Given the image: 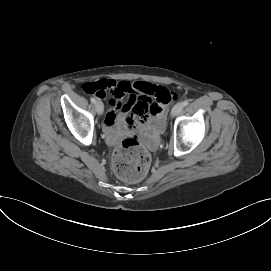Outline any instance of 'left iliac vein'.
<instances>
[{"label":"left iliac vein","mask_w":271,"mask_h":271,"mask_svg":"<svg viewBox=\"0 0 271 271\" xmlns=\"http://www.w3.org/2000/svg\"><path fill=\"white\" fill-rule=\"evenodd\" d=\"M183 104L182 103H177L171 110V115L174 117L176 115H178L182 109H183Z\"/></svg>","instance_id":"obj_1"}]
</instances>
